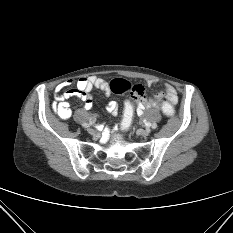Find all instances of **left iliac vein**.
<instances>
[{"mask_svg": "<svg viewBox=\"0 0 233 233\" xmlns=\"http://www.w3.org/2000/svg\"><path fill=\"white\" fill-rule=\"evenodd\" d=\"M138 133H139V135L145 137V136H148V135H149L150 130H149L148 128H146V129H140V130L138 131Z\"/></svg>", "mask_w": 233, "mask_h": 233, "instance_id": "obj_1", "label": "left iliac vein"}]
</instances>
